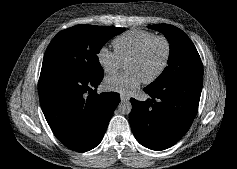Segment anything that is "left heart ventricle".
I'll return each instance as SVG.
<instances>
[{"label":"left heart ventricle","instance_id":"b2bd125f","mask_svg":"<svg viewBox=\"0 0 237 169\" xmlns=\"http://www.w3.org/2000/svg\"><path fill=\"white\" fill-rule=\"evenodd\" d=\"M165 52L164 42L162 40H155L148 46L140 58L128 61L125 67L127 70L135 71L142 80H145L160 68Z\"/></svg>","mask_w":237,"mask_h":169}]
</instances>
